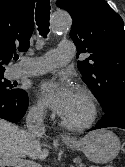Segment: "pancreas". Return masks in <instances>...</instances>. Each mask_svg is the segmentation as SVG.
I'll return each mask as SVG.
<instances>
[{
	"mask_svg": "<svg viewBox=\"0 0 125 167\" xmlns=\"http://www.w3.org/2000/svg\"><path fill=\"white\" fill-rule=\"evenodd\" d=\"M77 160H79L78 162H79V165H78V167H84L82 164H80V159H77ZM91 167H98V166H91ZM110 167V166H109Z\"/></svg>",
	"mask_w": 125,
	"mask_h": 167,
	"instance_id": "pancreas-1",
	"label": "pancreas"
}]
</instances>
